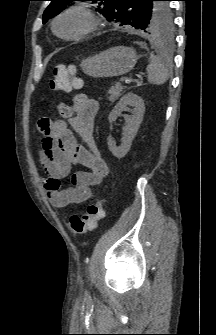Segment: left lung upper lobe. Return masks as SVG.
Returning a JSON list of instances; mask_svg holds the SVG:
<instances>
[{
    "label": "left lung upper lobe",
    "instance_id": "obj_1",
    "mask_svg": "<svg viewBox=\"0 0 216 335\" xmlns=\"http://www.w3.org/2000/svg\"><path fill=\"white\" fill-rule=\"evenodd\" d=\"M43 14V23L59 14L75 0H50ZM98 3L96 11L120 26H132L149 34H169L173 29V16L168 0H88Z\"/></svg>",
    "mask_w": 216,
    "mask_h": 335
}]
</instances>
